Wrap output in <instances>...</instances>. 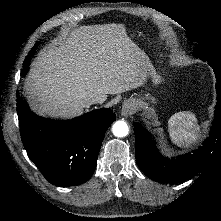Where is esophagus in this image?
Segmentation results:
<instances>
[{"mask_svg": "<svg viewBox=\"0 0 221 221\" xmlns=\"http://www.w3.org/2000/svg\"><path fill=\"white\" fill-rule=\"evenodd\" d=\"M135 112H136V104L134 100L132 99L126 100L122 106L121 110L122 115L125 117H130Z\"/></svg>", "mask_w": 221, "mask_h": 221, "instance_id": "1", "label": "esophagus"}]
</instances>
